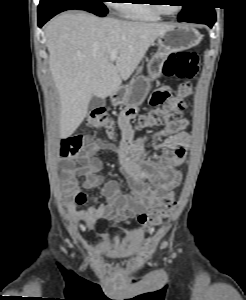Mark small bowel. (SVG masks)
Wrapping results in <instances>:
<instances>
[{"instance_id": "c3829d8e", "label": "small bowel", "mask_w": 246, "mask_h": 300, "mask_svg": "<svg viewBox=\"0 0 246 300\" xmlns=\"http://www.w3.org/2000/svg\"><path fill=\"white\" fill-rule=\"evenodd\" d=\"M157 92L169 95L170 88L163 86ZM137 112L138 107L130 106L119 114L122 137L117 144L85 136L83 149L76 161L68 160L63 168L62 189L68 199L70 217L75 223L83 222L88 228H93L101 220L121 222L158 205L171 189L180 184L182 174L179 167L185 160L190 143L189 134L185 131L188 121L181 118L167 123L169 137L159 147L158 160H154L134 140L131 121ZM103 149L118 155L120 171L127 177L131 194H124L119 182L108 178L103 170L98 158ZM79 177L84 180L79 182ZM95 188L99 189L105 201L93 198L88 208L79 209L78 206L89 201L84 190Z\"/></svg>"}]
</instances>
